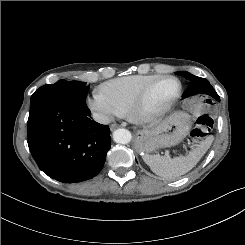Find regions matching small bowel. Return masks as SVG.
Wrapping results in <instances>:
<instances>
[{"mask_svg": "<svg viewBox=\"0 0 245 245\" xmlns=\"http://www.w3.org/2000/svg\"><path fill=\"white\" fill-rule=\"evenodd\" d=\"M187 110L191 114H207L214 109V102L211 99H199L198 97H191L187 103Z\"/></svg>", "mask_w": 245, "mask_h": 245, "instance_id": "small-bowel-1", "label": "small bowel"}]
</instances>
